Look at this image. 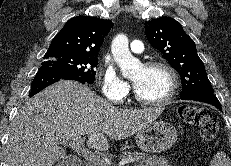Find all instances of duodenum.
I'll return each mask as SVG.
<instances>
[{"mask_svg": "<svg viewBox=\"0 0 231 166\" xmlns=\"http://www.w3.org/2000/svg\"><path fill=\"white\" fill-rule=\"evenodd\" d=\"M62 166H84V162L77 156H70L62 164Z\"/></svg>", "mask_w": 231, "mask_h": 166, "instance_id": "obj_1", "label": "duodenum"}]
</instances>
